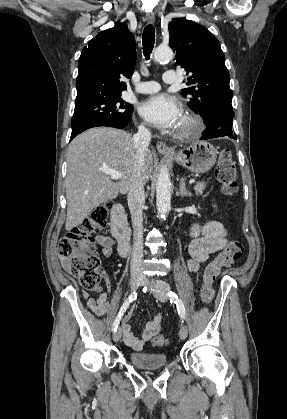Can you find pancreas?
<instances>
[{
    "label": "pancreas",
    "instance_id": "pancreas-1",
    "mask_svg": "<svg viewBox=\"0 0 287 419\" xmlns=\"http://www.w3.org/2000/svg\"><path fill=\"white\" fill-rule=\"evenodd\" d=\"M205 187H206L205 182H197L195 187H194V190H195L196 194H201V193H203Z\"/></svg>",
    "mask_w": 287,
    "mask_h": 419
}]
</instances>
